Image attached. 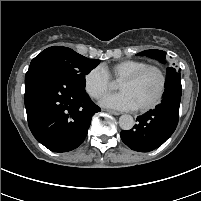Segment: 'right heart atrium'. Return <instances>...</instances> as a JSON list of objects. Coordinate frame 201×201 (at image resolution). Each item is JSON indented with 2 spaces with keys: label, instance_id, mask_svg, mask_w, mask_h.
<instances>
[{
  "label": "right heart atrium",
  "instance_id": "obj_1",
  "mask_svg": "<svg viewBox=\"0 0 201 201\" xmlns=\"http://www.w3.org/2000/svg\"><path fill=\"white\" fill-rule=\"evenodd\" d=\"M111 87V80L102 66L91 68L84 76V88L93 99H100Z\"/></svg>",
  "mask_w": 201,
  "mask_h": 201
}]
</instances>
